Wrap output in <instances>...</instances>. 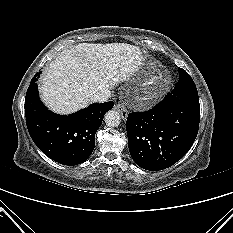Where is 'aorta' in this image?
Listing matches in <instances>:
<instances>
[{
  "mask_svg": "<svg viewBox=\"0 0 233 233\" xmlns=\"http://www.w3.org/2000/svg\"><path fill=\"white\" fill-rule=\"evenodd\" d=\"M105 123L109 127H117L120 124V114L115 110H110L105 114Z\"/></svg>",
  "mask_w": 233,
  "mask_h": 233,
  "instance_id": "1",
  "label": "aorta"
}]
</instances>
